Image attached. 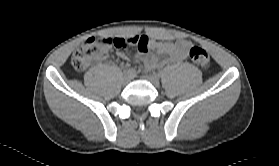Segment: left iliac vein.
<instances>
[{"mask_svg": "<svg viewBox=\"0 0 279 166\" xmlns=\"http://www.w3.org/2000/svg\"><path fill=\"white\" fill-rule=\"evenodd\" d=\"M143 78L148 80L149 82H151L155 87L160 86L159 77H157L155 75H146V76H143Z\"/></svg>", "mask_w": 279, "mask_h": 166, "instance_id": "obj_1", "label": "left iliac vein"}]
</instances>
